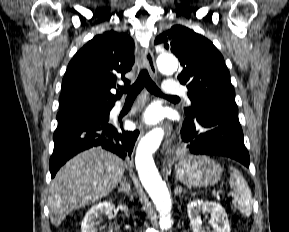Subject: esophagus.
Returning a JSON list of instances; mask_svg holds the SVG:
<instances>
[{"mask_svg":"<svg viewBox=\"0 0 289 232\" xmlns=\"http://www.w3.org/2000/svg\"><path fill=\"white\" fill-rule=\"evenodd\" d=\"M141 57H142L143 62L148 67L150 74L153 77H156L157 76V68H156V65H155L154 55H153L152 51L150 49L143 48L141 50ZM171 130H172L171 125H167L166 139H165V141L163 143V148H162V153L163 154L166 152V150L171 145V139H170Z\"/></svg>","mask_w":289,"mask_h":232,"instance_id":"1","label":"esophagus"}]
</instances>
